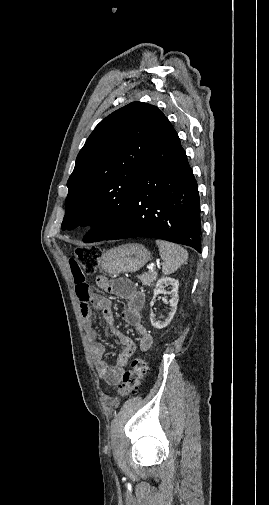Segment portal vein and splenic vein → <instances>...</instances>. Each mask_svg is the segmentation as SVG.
Returning a JSON list of instances; mask_svg holds the SVG:
<instances>
[{
  "label": "portal vein and splenic vein",
  "instance_id": "obj_1",
  "mask_svg": "<svg viewBox=\"0 0 269 505\" xmlns=\"http://www.w3.org/2000/svg\"><path fill=\"white\" fill-rule=\"evenodd\" d=\"M158 266H159V265H158ZM151 270H152V271H154V270H155V267L153 266V267L151 268Z\"/></svg>",
  "mask_w": 269,
  "mask_h": 505
}]
</instances>
